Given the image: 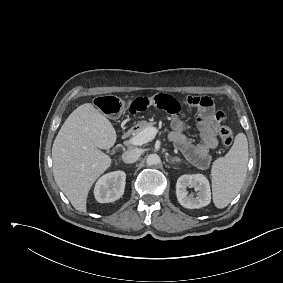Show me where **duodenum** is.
I'll list each match as a JSON object with an SVG mask.
<instances>
[{
    "label": "duodenum",
    "instance_id": "1",
    "mask_svg": "<svg viewBox=\"0 0 283 283\" xmlns=\"http://www.w3.org/2000/svg\"><path fill=\"white\" fill-rule=\"evenodd\" d=\"M135 129L134 128H131V129H128L127 131H125L122 135V138L123 139H127L129 138L133 133H134Z\"/></svg>",
    "mask_w": 283,
    "mask_h": 283
}]
</instances>
